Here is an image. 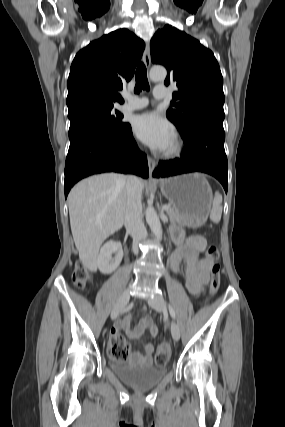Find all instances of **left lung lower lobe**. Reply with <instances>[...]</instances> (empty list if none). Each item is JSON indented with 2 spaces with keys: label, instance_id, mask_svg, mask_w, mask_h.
Returning a JSON list of instances; mask_svg holds the SVG:
<instances>
[{
  "label": "left lung lower lobe",
  "instance_id": "1",
  "mask_svg": "<svg viewBox=\"0 0 285 427\" xmlns=\"http://www.w3.org/2000/svg\"><path fill=\"white\" fill-rule=\"evenodd\" d=\"M224 129L204 125L183 138L185 150L180 158L160 161L155 177H168L190 172H204L217 178L227 192L228 165L224 150Z\"/></svg>",
  "mask_w": 285,
  "mask_h": 427
}]
</instances>
